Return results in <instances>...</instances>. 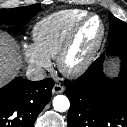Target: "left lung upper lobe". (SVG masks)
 <instances>
[{
    "instance_id": "1",
    "label": "left lung upper lobe",
    "mask_w": 127,
    "mask_h": 127,
    "mask_svg": "<svg viewBox=\"0 0 127 127\" xmlns=\"http://www.w3.org/2000/svg\"><path fill=\"white\" fill-rule=\"evenodd\" d=\"M108 16L110 21L108 34L109 45L127 40V24L113 16L111 13H109Z\"/></svg>"
}]
</instances>
